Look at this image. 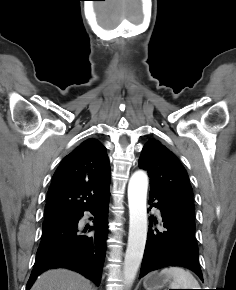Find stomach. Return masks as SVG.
Returning a JSON list of instances; mask_svg holds the SVG:
<instances>
[{
    "label": "stomach",
    "instance_id": "obj_1",
    "mask_svg": "<svg viewBox=\"0 0 236 290\" xmlns=\"http://www.w3.org/2000/svg\"><path fill=\"white\" fill-rule=\"evenodd\" d=\"M169 281V277L158 272L148 274L143 281L146 290H160Z\"/></svg>",
    "mask_w": 236,
    "mask_h": 290
}]
</instances>
